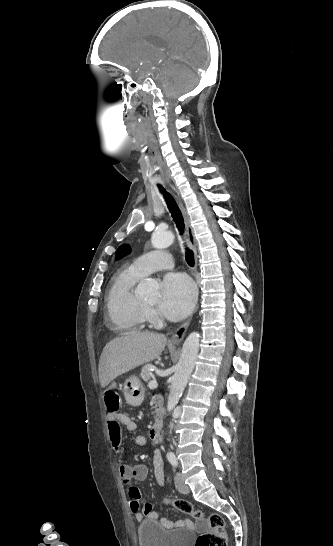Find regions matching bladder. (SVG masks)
<instances>
[{"mask_svg": "<svg viewBox=\"0 0 333 546\" xmlns=\"http://www.w3.org/2000/svg\"><path fill=\"white\" fill-rule=\"evenodd\" d=\"M140 546H192L194 533L189 529L166 530L153 519H143L137 527Z\"/></svg>", "mask_w": 333, "mask_h": 546, "instance_id": "31cf9c89", "label": "bladder"}]
</instances>
